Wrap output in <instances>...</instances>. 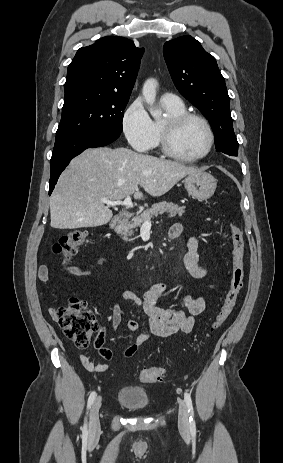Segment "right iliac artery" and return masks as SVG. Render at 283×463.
<instances>
[{"label": "right iliac artery", "mask_w": 283, "mask_h": 463, "mask_svg": "<svg viewBox=\"0 0 283 463\" xmlns=\"http://www.w3.org/2000/svg\"><path fill=\"white\" fill-rule=\"evenodd\" d=\"M96 398V392L93 391L91 392L89 398H88V403H87V408L90 409L91 405L93 404L94 400ZM88 435V430H87V424L85 423L83 426V438H87Z\"/></svg>", "instance_id": "right-iliac-artery-1"}]
</instances>
